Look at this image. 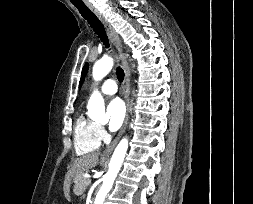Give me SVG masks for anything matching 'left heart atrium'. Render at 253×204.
I'll list each match as a JSON object with an SVG mask.
<instances>
[{"label":"left heart atrium","instance_id":"1","mask_svg":"<svg viewBox=\"0 0 253 204\" xmlns=\"http://www.w3.org/2000/svg\"><path fill=\"white\" fill-rule=\"evenodd\" d=\"M108 127L110 131H117L125 119V107L120 99H113L107 106Z\"/></svg>","mask_w":253,"mask_h":204}]
</instances>
